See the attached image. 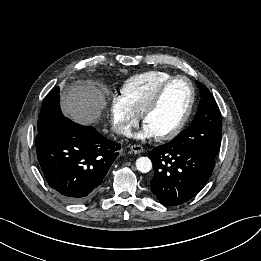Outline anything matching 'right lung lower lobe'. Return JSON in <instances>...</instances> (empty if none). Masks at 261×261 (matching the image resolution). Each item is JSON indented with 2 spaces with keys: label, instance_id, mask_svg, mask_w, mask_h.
Masks as SVG:
<instances>
[{
  "label": "right lung lower lobe",
  "instance_id": "obj_1",
  "mask_svg": "<svg viewBox=\"0 0 261 261\" xmlns=\"http://www.w3.org/2000/svg\"><path fill=\"white\" fill-rule=\"evenodd\" d=\"M120 144L66 117L36 136L39 164L48 185L62 199L81 203L96 195L119 155Z\"/></svg>",
  "mask_w": 261,
  "mask_h": 261
}]
</instances>
